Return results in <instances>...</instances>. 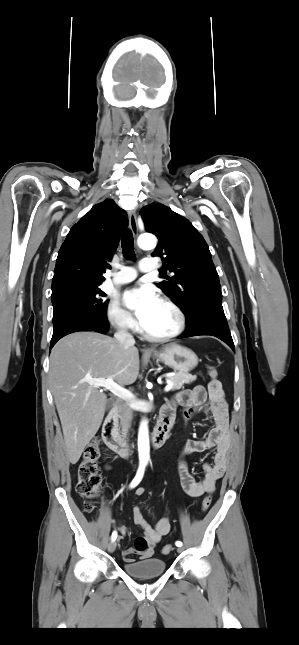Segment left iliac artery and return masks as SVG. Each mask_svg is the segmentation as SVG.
Returning a JSON list of instances; mask_svg holds the SVG:
<instances>
[{
    "label": "left iliac artery",
    "instance_id": "obj_1",
    "mask_svg": "<svg viewBox=\"0 0 299 645\" xmlns=\"http://www.w3.org/2000/svg\"><path fill=\"white\" fill-rule=\"evenodd\" d=\"M175 544H176V546H177V547H181V546H182V542H181V541H176V543H175Z\"/></svg>",
    "mask_w": 299,
    "mask_h": 645
}]
</instances>
